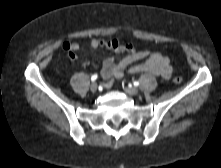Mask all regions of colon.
<instances>
[{
    "label": "colon",
    "instance_id": "obj_1",
    "mask_svg": "<svg viewBox=\"0 0 221 168\" xmlns=\"http://www.w3.org/2000/svg\"><path fill=\"white\" fill-rule=\"evenodd\" d=\"M173 82L176 84H180L182 82V78L179 76H176L173 78Z\"/></svg>",
    "mask_w": 221,
    "mask_h": 168
}]
</instances>
